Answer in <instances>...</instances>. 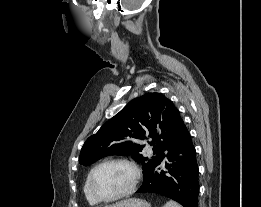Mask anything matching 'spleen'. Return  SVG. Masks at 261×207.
I'll use <instances>...</instances> for the list:
<instances>
[{"label": "spleen", "instance_id": "1", "mask_svg": "<svg viewBox=\"0 0 261 207\" xmlns=\"http://www.w3.org/2000/svg\"><path fill=\"white\" fill-rule=\"evenodd\" d=\"M163 207H181L174 201H168Z\"/></svg>", "mask_w": 261, "mask_h": 207}]
</instances>
